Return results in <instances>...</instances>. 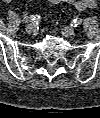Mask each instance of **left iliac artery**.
Returning <instances> with one entry per match:
<instances>
[{
    "label": "left iliac artery",
    "instance_id": "1",
    "mask_svg": "<svg viewBox=\"0 0 100 118\" xmlns=\"http://www.w3.org/2000/svg\"><path fill=\"white\" fill-rule=\"evenodd\" d=\"M81 23H82V19L76 18V19H74V20L72 21L71 25H72L73 27H77V26L80 25Z\"/></svg>",
    "mask_w": 100,
    "mask_h": 118
}]
</instances>
